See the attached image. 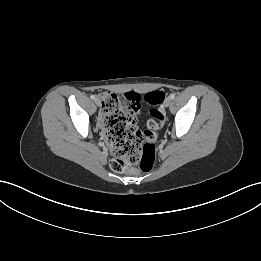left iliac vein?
<instances>
[{
	"label": "left iliac vein",
	"instance_id": "1",
	"mask_svg": "<svg viewBox=\"0 0 261 261\" xmlns=\"http://www.w3.org/2000/svg\"><path fill=\"white\" fill-rule=\"evenodd\" d=\"M171 104V99L169 97H167L165 100H164V106L165 107H169Z\"/></svg>",
	"mask_w": 261,
	"mask_h": 261
}]
</instances>
